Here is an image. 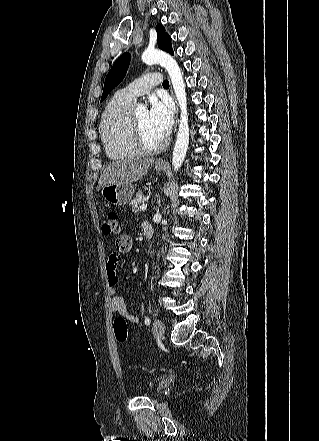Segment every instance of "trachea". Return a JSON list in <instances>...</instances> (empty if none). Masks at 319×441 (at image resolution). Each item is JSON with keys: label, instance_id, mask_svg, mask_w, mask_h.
<instances>
[{"label": "trachea", "instance_id": "obj_1", "mask_svg": "<svg viewBox=\"0 0 319 441\" xmlns=\"http://www.w3.org/2000/svg\"><path fill=\"white\" fill-rule=\"evenodd\" d=\"M163 87H169V82H168V80H165V81L163 82Z\"/></svg>", "mask_w": 319, "mask_h": 441}]
</instances>
